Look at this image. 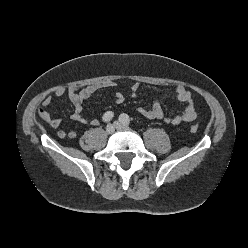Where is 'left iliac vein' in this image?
Here are the masks:
<instances>
[{
	"label": "left iliac vein",
	"mask_w": 248,
	"mask_h": 248,
	"mask_svg": "<svg viewBox=\"0 0 248 248\" xmlns=\"http://www.w3.org/2000/svg\"><path fill=\"white\" fill-rule=\"evenodd\" d=\"M114 125H115L116 129H127L128 128L127 125H125L119 121H115Z\"/></svg>",
	"instance_id": "left-iliac-vein-1"
}]
</instances>
